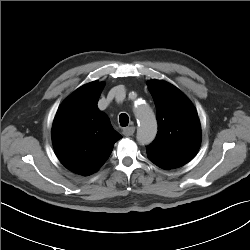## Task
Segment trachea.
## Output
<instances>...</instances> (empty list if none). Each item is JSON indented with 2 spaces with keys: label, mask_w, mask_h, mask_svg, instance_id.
I'll return each instance as SVG.
<instances>
[{
  "label": "trachea",
  "mask_w": 250,
  "mask_h": 250,
  "mask_svg": "<svg viewBox=\"0 0 250 250\" xmlns=\"http://www.w3.org/2000/svg\"><path fill=\"white\" fill-rule=\"evenodd\" d=\"M119 121H120V125H121L122 127L127 126L128 123H129V117H128V115L125 114V113H122V114L119 116Z\"/></svg>",
  "instance_id": "obj_1"
}]
</instances>
